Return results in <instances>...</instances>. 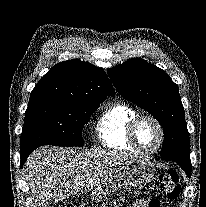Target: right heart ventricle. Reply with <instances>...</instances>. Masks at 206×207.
Returning a JSON list of instances; mask_svg holds the SVG:
<instances>
[{"label": "right heart ventricle", "instance_id": "right-heart-ventricle-1", "mask_svg": "<svg viewBox=\"0 0 206 207\" xmlns=\"http://www.w3.org/2000/svg\"><path fill=\"white\" fill-rule=\"evenodd\" d=\"M138 111L125 103H114L99 116L96 133L99 142L114 151H134L127 136L129 123L138 115Z\"/></svg>", "mask_w": 206, "mask_h": 207}]
</instances>
